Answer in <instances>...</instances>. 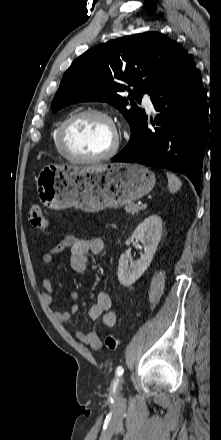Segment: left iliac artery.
<instances>
[{
    "instance_id": "44dca946",
    "label": "left iliac artery",
    "mask_w": 221,
    "mask_h": 440,
    "mask_svg": "<svg viewBox=\"0 0 221 440\" xmlns=\"http://www.w3.org/2000/svg\"><path fill=\"white\" fill-rule=\"evenodd\" d=\"M123 372H124L123 367L122 366H118L117 369H116L117 379L113 383V391L116 390V386H117V384L119 382V377L122 376Z\"/></svg>"
}]
</instances>
